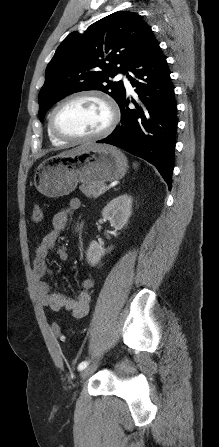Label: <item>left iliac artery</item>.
I'll list each match as a JSON object with an SVG mask.
<instances>
[{
  "instance_id": "44dca946",
  "label": "left iliac artery",
  "mask_w": 219,
  "mask_h": 447,
  "mask_svg": "<svg viewBox=\"0 0 219 447\" xmlns=\"http://www.w3.org/2000/svg\"><path fill=\"white\" fill-rule=\"evenodd\" d=\"M89 364L88 361H83L78 365V370H83L84 368L87 367V365Z\"/></svg>"
}]
</instances>
